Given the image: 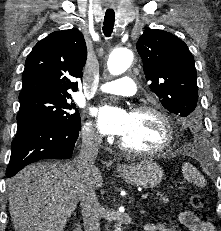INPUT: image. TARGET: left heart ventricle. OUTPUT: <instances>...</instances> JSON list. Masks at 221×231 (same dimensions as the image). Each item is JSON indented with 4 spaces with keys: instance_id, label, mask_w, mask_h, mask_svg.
<instances>
[{
    "instance_id": "1",
    "label": "left heart ventricle",
    "mask_w": 221,
    "mask_h": 231,
    "mask_svg": "<svg viewBox=\"0 0 221 231\" xmlns=\"http://www.w3.org/2000/svg\"><path fill=\"white\" fill-rule=\"evenodd\" d=\"M121 139L131 148L155 149L165 141V127L156 115L131 113L129 128Z\"/></svg>"
}]
</instances>
